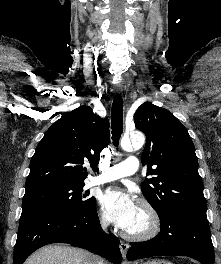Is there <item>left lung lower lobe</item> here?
<instances>
[{"instance_id":"0a47b994","label":"left lung lower lobe","mask_w":221,"mask_h":264,"mask_svg":"<svg viewBox=\"0 0 221 264\" xmlns=\"http://www.w3.org/2000/svg\"><path fill=\"white\" fill-rule=\"evenodd\" d=\"M160 233L145 242L130 243L128 260L152 256H188L214 264V250L206 212H169L159 216Z\"/></svg>"}]
</instances>
